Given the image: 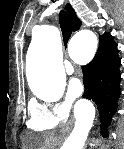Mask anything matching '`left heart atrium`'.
<instances>
[{
  "instance_id": "obj_1",
  "label": "left heart atrium",
  "mask_w": 124,
  "mask_h": 149,
  "mask_svg": "<svg viewBox=\"0 0 124 149\" xmlns=\"http://www.w3.org/2000/svg\"><path fill=\"white\" fill-rule=\"evenodd\" d=\"M83 92V84L79 79H72L68 86V97L70 99H76L81 96Z\"/></svg>"
}]
</instances>
